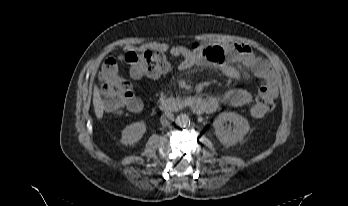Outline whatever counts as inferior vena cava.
Masks as SVG:
<instances>
[{
  "instance_id": "obj_1",
  "label": "inferior vena cava",
  "mask_w": 348,
  "mask_h": 206,
  "mask_svg": "<svg viewBox=\"0 0 348 206\" xmlns=\"http://www.w3.org/2000/svg\"><path fill=\"white\" fill-rule=\"evenodd\" d=\"M160 121L163 125H169L172 121H174V115L171 112H165Z\"/></svg>"
}]
</instances>
